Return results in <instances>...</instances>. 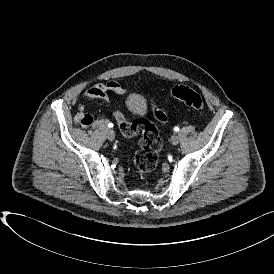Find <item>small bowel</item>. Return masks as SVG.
<instances>
[{
  "mask_svg": "<svg viewBox=\"0 0 274 274\" xmlns=\"http://www.w3.org/2000/svg\"><path fill=\"white\" fill-rule=\"evenodd\" d=\"M109 93L125 94L127 89L116 81L97 82L84 92L83 100L107 104L109 102ZM74 121L83 128H88L93 123V116L86 112L84 102L79 104Z\"/></svg>",
  "mask_w": 274,
  "mask_h": 274,
  "instance_id": "obj_1",
  "label": "small bowel"
}]
</instances>
